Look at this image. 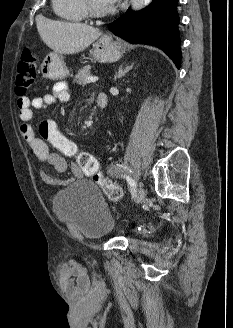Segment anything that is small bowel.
I'll use <instances>...</instances> for the list:
<instances>
[{
  "mask_svg": "<svg viewBox=\"0 0 233 328\" xmlns=\"http://www.w3.org/2000/svg\"><path fill=\"white\" fill-rule=\"evenodd\" d=\"M70 95L67 91L65 83H57L53 90L42 96L29 98L21 96L17 99L18 116L21 121L20 132L28 143L36 158L43 164L50 165L56 172L63 173L68 168L66 159L49 150L48 145L34 134L30 121L33 118V109H45L57 102L65 103L69 100ZM73 177L67 180H60L47 174L40 172L42 181L48 185L66 186L72 180L83 177L84 173L76 163H71ZM61 287L64 294L69 298H81L90 291V280L86 269L77 261L69 260L62 267Z\"/></svg>",
  "mask_w": 233,
  "mask_h": 328,
  "instance_id": "small-bowel-1",
  "label": "small bowel"
}]
</instances>
